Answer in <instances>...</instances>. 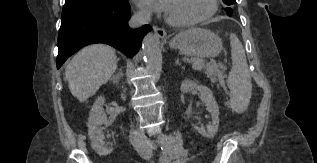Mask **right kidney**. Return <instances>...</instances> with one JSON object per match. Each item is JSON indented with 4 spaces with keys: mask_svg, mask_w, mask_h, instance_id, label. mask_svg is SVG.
I'll return each instance as SVG.
<instances>
[{
    "mask_svg": "<svg viewBox=\"0 0 317 163\" xmlns=\"http://www.w3.org/2000/svg\"><path fill=\"white\" fill-rule=\"evenodd\" d=\"M105 103V98L98 97L89 114V119L87 123L88 136L91 141V147L99 155H108L113 151L112 147H108L104 142V134L102 132L103 128L101 125L106 124L107 116L104 111L103 105Z\"/></svg>",
    "mask_w": 317,
    "mask_h": 163,
    "instance_id": "1",
    "label": "right kidney"
}]
</instances>
